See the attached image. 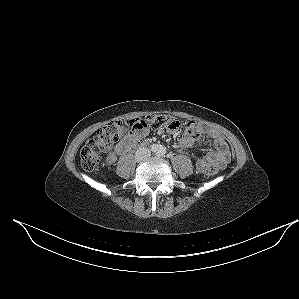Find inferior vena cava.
I'll use <instances>...</instances> for the list:
<instances>
[{"label": "inferior vena cava", "instance_id": "obj_1", "mask_svg": "<svg viewBox=\"0 0 299 299\" xmlns=\"http://www.w3.org/2000/svg\"><path fill=\"white\" fill-rule=\"evenodd\" d=\"M151 155V151L148 148H139L135 153V159L137 161H143Z\"/></svg>", "mask_w": 299, "mask_h": 299}]
</instances>
